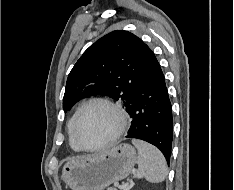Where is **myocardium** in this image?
Returning a JSON list of instances; mask_svg holds the SVG:
<instances>
[{
    "label": "myocardium",
    "mask_w": 234,
    "mask_h": 190,
    "mask_svg": "<svg viewBox=\"0 0 234 190\" xmlns=\"http://www.w3.org/2000/svg\"><path fill=\"white\" fill-rule=\"evenodd\" d=\"M93 105H103V106H106L107 108H109L110 110H112L117 117L118 126H117V129L114 132V134L109 139H107L103 143H100L96 146L88 147V146L83 145L78 140L77 128H78V125H79V122H80L82 115L85 113V111L88 108H90ZM126 127H127V116H126V113L124 112V110L122 109V107L118 103H116L108 98L96 97V98H92V99L88 100L87 102H85L81 106V108L78 110L76 117H75V120H74V123H73V126H72L71 135H72L73 141L76 143V145L78 146V148L80 150L93 152V151H97V150H101L103 148H106L109 145H111L112 143H114L124 133Z\"/></svg>",
    "instance_id": "f54148a6"
}]
</instances>
